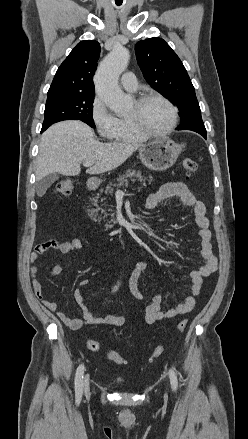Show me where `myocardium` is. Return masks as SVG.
Segmentation results:
<instances>
[{
  "label": "myocardium",
  "mask_w": 248,
  "mask_h": 439,
  "mask_svg": "<svg viewBox=\"0 0 248 439\" xmlns=\"http://www.w3.org/2000/svg\"><path fill=\"white\" fill-rule=\"evenodd\" d=\"M152 99H159L163 101L170 108L172 113V120L170 126L166 130L161 132H154L147 129L142 121V116H141L142 107L149 100ZM135 103H136V110L132 115L128 117L134 129L140 134L144 135L145 137H163L169 135L176 128L178 122V110L176 106L165 96L159 93H147L138 97Z\"/></svg>",
  "instance_id": "myocardium-1"
}]
</instances>
